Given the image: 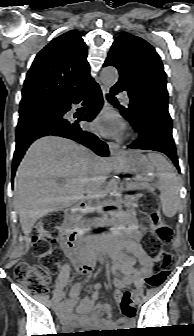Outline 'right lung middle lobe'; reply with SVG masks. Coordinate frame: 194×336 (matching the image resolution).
Masks as SVG:
<instances>
[{
	"instance_id": "1",
	"label": "right lung middle lobe",
	"mask_w": 194,
	"mask_h": 336,
	"mask_svg": "<svg viewBox=\"0 0 194 336\" xmlns=\"http://www.w3.org/2000/svg\"><path fill=\"white\" fill-rule=\"evenodd\" d=\"M38 110H40V109H36V110L27 109V108H25V109H20V110H19V114H20V116H22V115H29V114H32V113L37 112Z\"/></svg>"
}]
</instances>
